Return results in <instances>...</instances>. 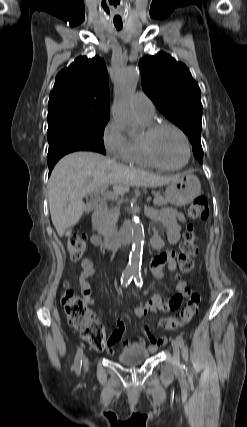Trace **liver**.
Masks as SVG:
<instances>
[{
    "mask_svg": "<svg viewBox=\"0 0 247 427\" xmlns=\"http://www.w3.org/2000/svg\"><path fill=\"white\" fill-rule=\"evenodd\" d=\"M177 176L164 177L127 167L93 152L68 154L55 165L49 179L48 199L53 225L62 237L86 210L83 197L109 184H114V192L123 194L130 186H163Z\"/></svg>",
    "mask_w": 247,
    "mask_h": 427,
    "instance_id": "6515ba94",
    "label": "liver"
}]
</instances>
